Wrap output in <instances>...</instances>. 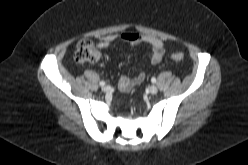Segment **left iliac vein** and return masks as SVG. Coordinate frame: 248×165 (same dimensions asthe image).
Returning <instances> with one entry per match:
<instances>
[{
	"mask_svg": "<svg viewBox=\"0 0 248 165\" xmlns=\"http://www.w3.org/2000/svg\"><path fill=\"white\" fill-rule=\"evenodd\" d=\"M148 90L151 94H156L158 92V88L154 85L149 86Z\"/></svg>",
	"mask_w": 248,
	"mask_h": 165,
	"instance_id": "left-iliac-vein-1",
	"label": "left iliac vein"
}]
</instances>
